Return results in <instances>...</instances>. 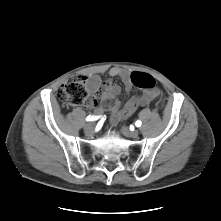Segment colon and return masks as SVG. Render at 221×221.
Masks as SVG:
<instances>
[{
	"label": "colon",
	"instance_id": "colon-1",
	"mask_svg": "<svg viewBox=\"0 0 221 221\" xmlns=\"http://www.w3.org/2000/svg\"><path fill=\"white\" fill-rule=\"evenodd\" d=\"M135 86L142 89H152L154 79L147 74H134L132 76ZM58 99L62 105H80L88 101V94L83 77H73L65 83L58 92Z\"/></svg>",
	"mask_w": 221,
	"mask_h": 221
}]
</instances>
